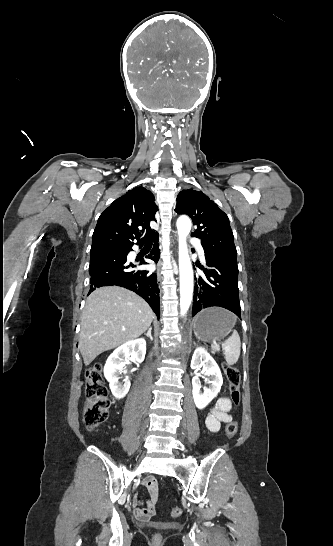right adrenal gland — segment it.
I'll return each instance as SVG.
<instances>
[{"label": "right adrenal gland", "mask_w": 333, "mask_h": 546, "mask_svg": "<svg viewBox=\"0 0 333 546\" xmlns=\"http://www.w3.org/2000/svg\"><path fill=\"white\" fill-rule=\"evenodd\" d=\"M152 327H149L147 333H144L145 336L149 337L151 341H153V337L151 335Z\"/></svg>", "instance_id": "1"}]
</instances>
